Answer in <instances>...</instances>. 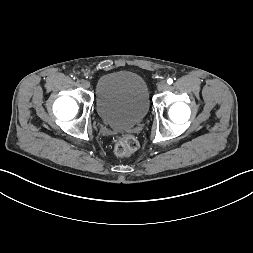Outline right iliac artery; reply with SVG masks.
<instances>
[{
    "mask_svg": "<svg viewBox=\"0 0 253 253\" xmlns=\"http://www.w3.org/2000/svg\"><path fill=\"white\" fill-rule=\"evenodd\" d=\"M83 80L82 79H77V82H82Z\"/></svg>",
    "mask_w": 253,
    "mask_h": 253,
    "instance_id": "82829eb1",
    "label": "right iliac artery"
}]
</instances>
